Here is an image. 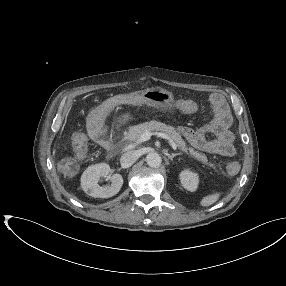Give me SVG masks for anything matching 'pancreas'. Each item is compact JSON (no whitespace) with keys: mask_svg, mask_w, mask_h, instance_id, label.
Here are the masks:
<instances>
[{"mask_svg":"<svg viewBox=\"0 0 286 286\" xmlns=\"http://www.w3.org/2000/svg\"><path fill=\"white\" fill-rule=\"evenodd\" d=\"M145 131L164 132L172 139V141L181 151L185 153H189L193 158L197 159L198 161H201L202 163L206 165H209L210 167H214V164L208 162V159L204 154L199 153L198 151H195L193 148H188L186 145V142L183 140L180 133H178L174 127L166 125L158 121L145 122V123L131 127L125 139L135 142L140 138V136Z\"/></svg>","mask_w":286,"mask_h":286,"instance_id":"pancreas-1","label":"pancreas"}]
</instances>
